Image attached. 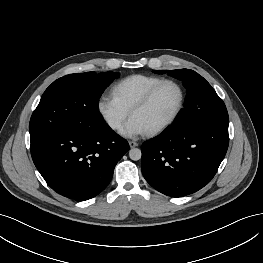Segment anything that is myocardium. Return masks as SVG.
I'll use <instances>...</instances> for the list:
<instances>
[{"instance_id": "obj_1", "label": "myocardium", "mask_w": 263, "mask_h": 263, "mask_svg": "<svg viewBox=\"0 0 263 263\" xmlns=\"http://www.w3.org/2000/svg\"><path fill=\"white\" fill-rule=\"evenodd\" d=\"M165 84H173L174 86L178 88L179 93H180L179 103L177 105V108L173 112V114L166 121H164L160 125L146 132L148 136L157 135L160 132L166 130L168 127H170L177 120V118L181 114L184 108V105H185L186 91H185L184 86L175 79H163L159 81L158 83H156L154 86H152L143 95V97L137 103L134 104V106L130 109V115L132 116L136 111L144 108L151 101L155 93Z\"/></svg>"}]
</instances>
